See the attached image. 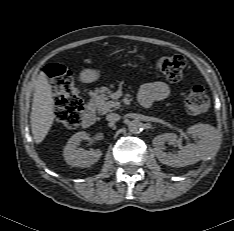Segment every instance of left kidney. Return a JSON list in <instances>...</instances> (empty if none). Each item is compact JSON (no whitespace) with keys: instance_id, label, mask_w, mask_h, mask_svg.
Instances as JSON below:
<instances>
[{"instance_id":"1","label":"left kidney","mask_w":234,"mask_h":231,"mask_svg":"<svg viewBox=\"0 0 234 231\" xmlns=\"http://www.w3.org/2000/svg\"><path fill=\"white\" fill-rule=\"evenodd\" d=\"M189 135L200 140L184 147L177 154L166 153L165 143L174 145L178 142L175 133H165L153 139V146L158 160L171 167H184L198 162L200 159L214 155L220 148L222 136L213 126L208 124H195L187 129Z\"/></svg>"}]
</instances>
